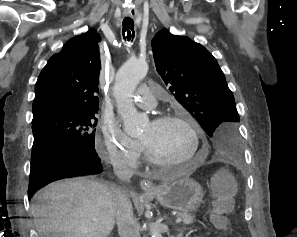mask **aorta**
Here are the masks:
<instances>
[{
	"instance_id": "762f6f07",
	"label": "aorta",
	"mask_w": 297,
	"mask_h": 237,
	"mask_svg": "<svg viewBox=\"0 0 297 237\" xmlns=\"http://www.w3.org/2000/svg\"><path fill=\"white\" fill-rule=\"evenodd\" d=\"M148 72V64L143 59L128 60L117 72L114 85V96L124 131L134 137L141 133L147 117L137 112L132 96L140 81ZM151 237H162L155 228L151 229Z\"/></svg>"
}]
</instances>
